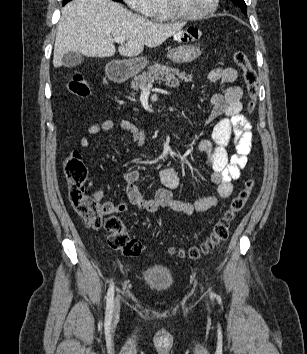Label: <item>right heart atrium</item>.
<instances>
[{"label":"right heart atrium","instance_id":"right-heart-atrium-1","mask_svg":"<svg viewBox=\"0 0 307 354\" xmlns=\"http://www.w3.org/2000/svg\"><path fill=\"white\" fill-rule=\"evenodd\" d=\"M133 10L146 16H150L156 6L157 0H124Z\"/></svg>","mask_w":307,"mask_h":354}]
</instances>
